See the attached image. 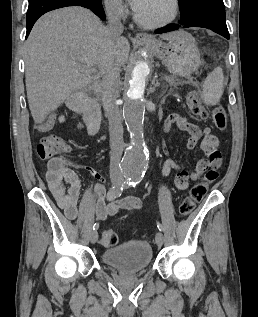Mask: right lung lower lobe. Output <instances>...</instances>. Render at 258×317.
Wrapping results in <instances>:
<instances>
[{"instance_id":"obj_1","label":"right lung lower lobe","mask_w":258,"mask_h":317,"mask_svg":"<svg viewBox=\"0 0 258 317\" xmlns=\"http://www.w3.org/2000/svg\"><path fill=\"white\" fill-rule=\"evenodd\" d=\"M66 6H82L93 11L102 20H105V13L101 0H29V7L26 16L28 37L34 23L44 13L66 7Z\"/></svg>"}]
</instances>
